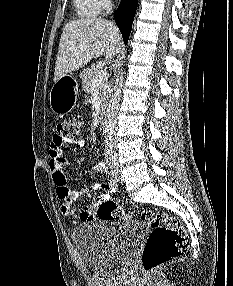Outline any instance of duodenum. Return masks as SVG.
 <instances>
[{
    "label": "duodenum",
    "instance_id": "1",
    "mask_svg": "<svg viewBox=\"0 0 233 286\" xmlns=\"http://www.w3.org/2000/svg\"><path fill=\"white\" fill-rule=\"evenodd\" d=\"M97 127L101 132L105 131L106 128V121L104 113L100 112L97 118Z\"/></svg>",
    "mask_w": 233,
    "mask_h": 286
}]
</instances>
